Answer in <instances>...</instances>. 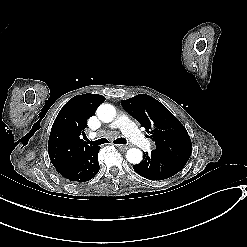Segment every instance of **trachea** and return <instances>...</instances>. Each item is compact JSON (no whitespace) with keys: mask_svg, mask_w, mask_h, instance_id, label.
Here are the masks:
<instances>
[{"mask_svg":"<svg viewBox=\"0 0 247 247\" xmlns=\"http://www.w3.org/2000/svg\"><path fill=\"white\" fill-rule=\"evenodd\" d=\"M87 144H90L92 146H99L105 143H109V141L106 138H101L96 141H89L88 139L86 140ZM114 144H119V145H125L127 143L126 138L120 137L117 138L113 141Z\"/></svg>","mask_w":247,"mask_h":247,"instance_id":"1","label":"trachea"}]
</instances>
